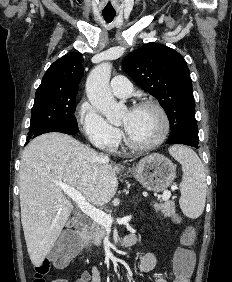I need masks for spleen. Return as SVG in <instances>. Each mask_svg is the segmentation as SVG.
Returning <instances> with one entry per match:
<instances>
[{"label":"spleen","mask_w":232,"mask_h":282,"mask_svg":"<svg viewBox=\"0 0 232 282\" xmlns=\"http://www.w3.org/2000/svg\"><path fill=\"white\" fill-rule=\"evenodd\" d=\"M169 152L182 166L179 200L181 210L187 217L197 218L203 213L206 201L204 166L198 155L188 147L173 146Z\"/></svg>","instance_id":"3e777b00"}]
</instances>
